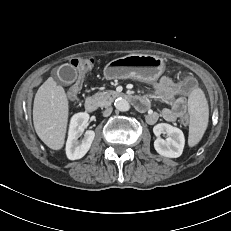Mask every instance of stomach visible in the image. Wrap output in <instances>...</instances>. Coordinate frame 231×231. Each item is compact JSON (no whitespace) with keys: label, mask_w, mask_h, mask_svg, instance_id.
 Returning <instances> with one entry per match:
<instances>
[{"label":"stomach","mask_w":231,"mask_h":231,"mask_svg":"<svg viewBox=\"0 0 231 231\" xmlns=\"http://www.w3.org/2000/svg\"><path fill=\"white\" fill-rule=\"evenodd\" d=\"M162 58L155 55L130 54L110 61L104 68L107 79H134L151 83L164 72Z\"/></svg>","instance_id":"obj_1"}]
</instances>
